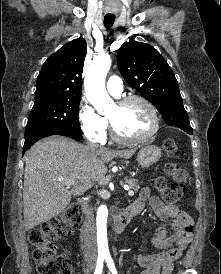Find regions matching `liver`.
Listing matches in <instances>:
<instances>
[{"label": "liver", "instance_id": "1", "mask_svg": "<svg viewBox=\"0 0 221 274\" xmlns=\"http://www.w3.org/2000/svg\"><path fill=\"white\" fill-rule=\"evenodd\" d=\"M135 149L112 151L51 136L34 144L26 155L23 203L25 229L30 230L59 215L72 196L80 195L107 173L105 164L115 157L129 159ZM76 181L73 188L65 182Z\"/></svg>", "mask_w": 221, "mask_h": 274}]
</instances>
